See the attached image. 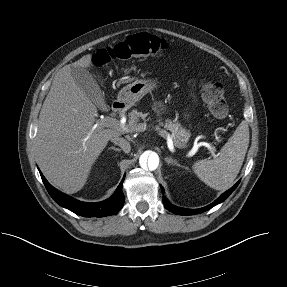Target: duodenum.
I'll return each instance as SVG.
<instances>
[{
	"label": "duodenum",
	"instance_id": "duodenum-1",
	"mask_svg": "<svg viewBox=\"0 0 287 287\" xmlns=\"http://www.w3.org/2000/svg\"><path fill=\"white\" fill-rule=\"evenodd\" d=\"M125 107V104L122 100H115L112 104V110L116 113L121 112Z\"/></svg>",
	"mask_w": 287,
	"mask_h": 287
}]
</instances>
